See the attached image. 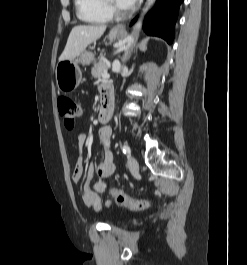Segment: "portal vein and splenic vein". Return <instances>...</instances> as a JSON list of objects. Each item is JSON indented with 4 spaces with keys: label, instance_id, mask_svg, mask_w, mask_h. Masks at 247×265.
<instances>
[{
    "label": "portal vein and splenic vein",
    "instance_id": "18ae733b",
    "mask_svg": "<svg viewBox=\"0 0 247 265\" xmlns=\"http://www.w3.org/2000/svg\"><path fill=\"white\" fill-rule=\"evenodd\" d=\"M102 77H103V78H109L110 75H109L107 72H105V73L102 75Z\"/></svg>",
    "mask_w": 247,
    "mask_h": 265
}]
</instances>
